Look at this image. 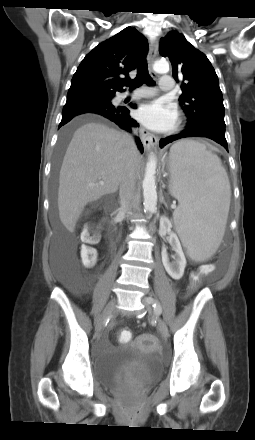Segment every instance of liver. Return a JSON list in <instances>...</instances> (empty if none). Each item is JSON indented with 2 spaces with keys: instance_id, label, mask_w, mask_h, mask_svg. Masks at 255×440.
<instances>
[{
  "instance_id": "1",
  "label": "liver",
  "mask_w": 255,
  "mask_h": 440,
  "mask_svg": "<svg viewBox=\"0 0 255 440\" xmlns=\"http://www.w3.org/2000/svg\"><path fill=\"white\" fill-rule=\"evenodd\" d=\"M128 159L127 134L96 122L74 132L60 169L57 200L59 218L67 230H74L87 203L118 190ZM140 162L137 151L136 176Z\"/></svg>"
}]
</instances>
